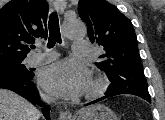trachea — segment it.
<instances>
[{"label":"trachea","instance_id":"3493384b","mask_svg":"<svg viewBox=\"0 0 165 120\" xmlns=\"http://www.w3.org/2000/svg\"><path fill=\"white\" fill-rule=\"evenodd\" d=\"M48 27H49L48 48H52L56 43L62 42L60 28H59V19L56 12L51 13L48 22Z\"/></svg>","mask_w":165,"mask_h":120}]
</instances>
